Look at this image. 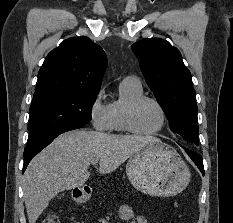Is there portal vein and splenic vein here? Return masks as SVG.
Here are the masks:
<instances>
[{"mask_svg": "<svg viewBox=\"0 0 233 223\" xmlns=\"http://www.w3.org/2000/svg\"><path fill=\"white\" fill-rule=\"evenodd\" d=\"M91 163H92V165H97L98 159H92Z\"/></svg>", "mask_w": 233, "mask_h": 223, "instance_id": "18ae733b", "label": "portal vein and splenic vein"}]
</instances>
